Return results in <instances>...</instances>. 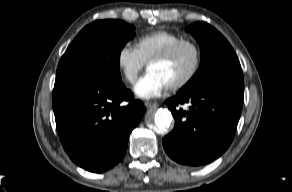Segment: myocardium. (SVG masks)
<instances>
[{"mask_svg": "<svg viewBox=\"0 0 292 192\" xmlns=\"http://www.w3.org/2000/svg\"><path fill=\"white\" fill-rule=\"evenodd\" d=\"M184 47H189L193 50L194 55H195V60L189 73L181 80L169 86V89L174 90V91L180 90L186 87L188 84H190L193 81V79L198 74L202 65V60H203L202 50L200 46L198 45V43L191 39H181L177 41L176 43L172 44L170 47H168L166 50H164L160 54L152 57L147 62V68H148L153 63L167 61L171 59L173 56H175L176 53Z\"/></svg>", "mask_w": 292, "mask_h": 192, "instance_id": "f54148a6", "label": "myocardium"}]
</instances>
